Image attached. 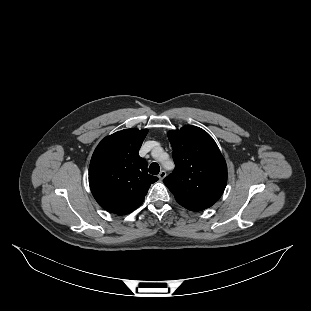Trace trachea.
<instances>
[{"label": "trachea", "mask_w": 311, "mask_h": 311, "mask_svg": "<svg viewBox=\"0 0 311 311\" xmlns=\"http://www.w3.org/2000/svg\"><path fill=\"white\" fill-rule=\"evenodd\" d=\"M160 171V166L154 162L150 165L149 167V173L152 174V175H157Z\"/></svg>", "instance_id": "trachea-1"}]
</instances>
